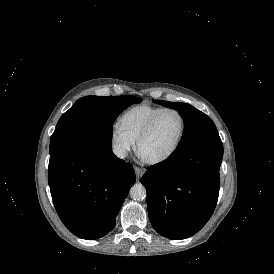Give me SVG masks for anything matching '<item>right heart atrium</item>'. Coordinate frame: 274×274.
<instances>
[{"label":"right heart atrium","instance_id":"right-heart-atrium-1","mask_svg":"<svg viewBox=\"0 0 274 274\" xmlns=\"http://www.w3.org/2000/svg\"><path fill=\"white\" fill-rule=\"evenodd\" d=\"M110 146L114 153L125 159L135 147V142L130 139L118 125H112L109 132Z\"/></svg>","mask_w":274,"mask_h":274}]
</instances>
